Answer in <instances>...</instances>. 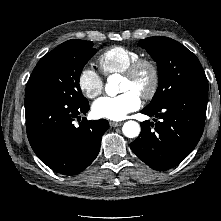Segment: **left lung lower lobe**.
Listing matches in <instances>:
<instances>
[{"label": "left lung lower lobe", "instance_id": "1", "mask_svg": "<svg viewBox=\"0 0 221 221\" xmlns=\"http://www.w3.org/2000/svg\"><path fill=\"white\" fill-rule=\"evenodd\" d=\"M208 93L188 92L141 113L160 117L144 121L141 134L130 144L132 151L154 170L177 166L197 145L204 129Z\"/></svg>", "mask_w": 221, "mask_h": 221}]
</instances>
